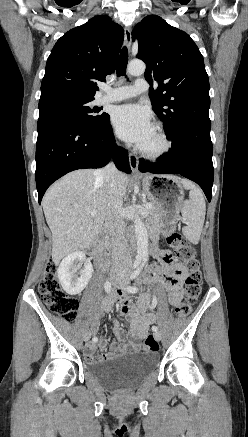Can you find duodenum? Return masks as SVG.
Listing matches in <instances>:
<instances>
[{
	"label": "duodenum",
	"mask_w": 248,
	"mask_h": 437,
	"mask_svg": "<svg viewBox=\"0 0 248 437\" xmlns=\"http://www.w3.org/2000/svg\"><path fill=\"white\" fill-rule=\"evenodd\" d=\"M105 239V233H100L95 241V244L92 248V252L95 255L98 263L101 266H106L108 264V258L107 256L103 253V242ZM152 253L156 256L158 254V249L157 248H153L152 249Z\"/></svg>",
	"instance_id": "410a0bca"
}]
</instances>
